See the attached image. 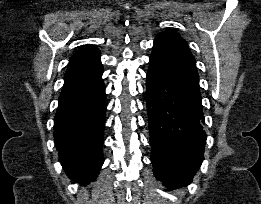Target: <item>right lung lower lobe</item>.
<instances>
[{
	"label": "right lung lower lobe",
	"instance_id": "1",
	"mask_svg": "<svg viewBox=\"0 0 261 204\" xmlns=\"http://www.w3.org/2000/svg\"><path fill=\"white\" fill-rule=\"evenodd\" d=\"M100 58L70 68L54 118L60 162L74 182L94 181L103 162L106 97Z\"/></svg>",
	"mask_w": 261,
	"mask_h": 204
}]
</instances>
